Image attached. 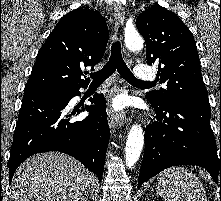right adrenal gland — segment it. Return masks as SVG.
I'll return each instance as SVG.
<instances>
[{"label":"right adrenal gland","instance_id":"obj_1","mask_svg":"<svg viewBox=\"0 0 221 201\" xmlns=\"http://www.w3.org/2000/svg\"><path fill=\"white\" fill-rule=\"evenodd\" d=\"M88 192H89V190H87L85 193H87V194H88Z\"/></svg>","mask_w":221,"mask_h":201}]
</instances>
